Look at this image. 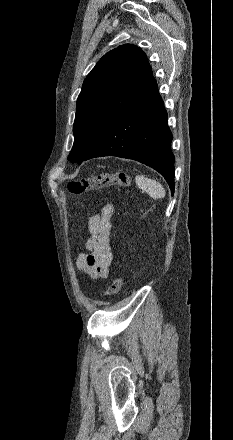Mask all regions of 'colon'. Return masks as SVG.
<instances>
[{"label": "colon", "mask_w": 233, "mask_h": 440, "mask_svg": "<svg viewBox=\"0 0 233 440\" xmlns=\"http://www.w3.org/2000/svg\"><path fill=\"white\" fill-rule=\"evenodd\" d=\"M131 179L128 174L119 172L116 174H101L98 176L86 177L80 180H72L67 184L68 192L71 195L79 196L88 191L110 186H130ZM123 285L122 277H116L105 292L106 296L116 295Z\"/></svg>", "instance_id": "5ec220e1"}]
</instances>
